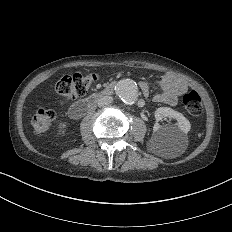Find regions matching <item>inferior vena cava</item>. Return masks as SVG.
<instances>
[{"label": "inferior vena cava", "instance_id": "inferior-vena-cava-1", "mask_svg": "<svg viewBox=\"0 0 232 232\" xmlns=\"http://www.w3.org/2000/svg\"><path fill=\"white\" fill-rule=\"evenodd\" d=\"M111 101H112L111 96H103V97L100 98V104L102 106L109 104Z\"/></svg>", "mask_w": 232, "mask_h": 232}]
</instances>
